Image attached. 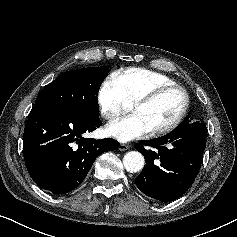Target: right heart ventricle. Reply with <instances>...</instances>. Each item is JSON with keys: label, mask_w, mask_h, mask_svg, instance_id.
Listing matches in <instances>:
<instances>
[{"label": "right heart ventricle", "mask_w": 237, "mask_h": 237, "mask_svg": "<svg viewBox=\"0 0 237 237\" xmlns=\"http://www.w3.org/2000/svg\"><path fill=\"white\" fill-rule=\"evenodd\" d=\"M112 77L119 85L127 103H133L158 86L175 84L170 77L144 68L120 70Z\"/></svg>", "instance_id": "1"}]
</instances>
